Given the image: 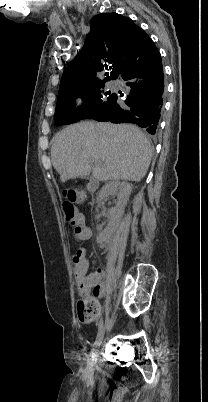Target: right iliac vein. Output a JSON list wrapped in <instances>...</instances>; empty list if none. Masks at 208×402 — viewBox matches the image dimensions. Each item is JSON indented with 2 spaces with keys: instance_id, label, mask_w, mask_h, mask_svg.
Masks as SVG:
<instances>
[{
  "instance_id": "obj_1",
  "label": "right iliac vein",
  "mask_w": 208,
  "mask_h": 402,
  "mask_svg": "<svg viewBox=\"0 0 208 402\" xmlns=\"http://www.w3.org/2000/svg\"><path fill=\"white\" fill-rule=\"evenodd\" d=\"M104 334H105V327L102 326V328L100 329V331L98 332L96 341L94 343V347L92 349L90 358L87 361V370L89 372H91L95 366V363L97 361V356H98V351H99V347L101 346L103 339H104Z\"/></svg>"
}]
</instances>
